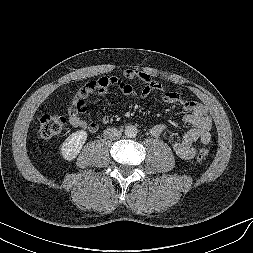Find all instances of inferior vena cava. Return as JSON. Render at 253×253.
<instances>
[{
  "instance_id": "obj_1",
  "label": "inferior vena cava",
  "mask_w": 253,
  "mask_h": 253,
  "mask_svg": "<svg viewBox=\"0 0 253 253\" xmlns=\"http://www.w3.org/2000/svg\"><path fill=\"white\" fill-rule=\"evenodd\" d=\"M103 135L108 140H118L122 136V133L116 128H108L104 130Z\"/></svg>"
}]
</instances>
